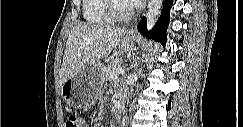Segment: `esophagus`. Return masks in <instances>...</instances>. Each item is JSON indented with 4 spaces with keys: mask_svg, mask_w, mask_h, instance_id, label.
I'll list each match as a JSON object with an SVG mask.
<instances>
[{
    "mask_svg": "<svg viewBox=\"0 0 243 127\" xmlns=\"http://www.w3.org/2000/svg\"><path fill=\"white\" fill-rule=\"evenodd\" d=\"M134 32H136V30H135V28H132L131 33H134Z\"/></svg>",
    "mask_w": 243,
    "mask_h": 127,
    "instance_id": "1",
    "label": "esophagus"
}]
</instances>
